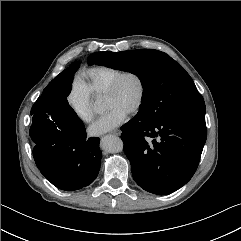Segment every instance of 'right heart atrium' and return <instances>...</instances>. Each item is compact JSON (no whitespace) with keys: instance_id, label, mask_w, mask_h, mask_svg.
Wrapping results in <instances>:
<instances>
[{"instance_id":"d8ad5b80","label":"right heart atrium","mask_w":241,"mask_h":241,"mask_svg":"<svg viewBox=\"0 0 241 241\" xmlns=\"http://www.w3.org/2000/svg\"><path fill=\"white\" fill-rule=\"evenodd\" d=\"M67 103L74 115L84 123H91L95 117L91 94L86 86L75 80L67 95Z\"/></svg>"}]
</instances>
